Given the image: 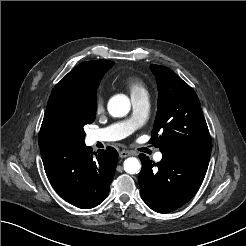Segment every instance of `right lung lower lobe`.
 <instances>
[{"label": "right lung lower lobe", "mask_w": 246, "mask_h": 246, "mask_svg": "<svg viewBox=\"0 0 246 246\" xmlns=\"http://www.w3.org/2000/svg\"><path fill=\"white\" fill-rule=\"evenodd\" d=\"M40 153L52 187L67 202L89 209L107 197L118 160L114 148L99 150L93 158L84 141L57 138L40 146Z\"/></svg>", "instance_id": "1"}]
</instances>
